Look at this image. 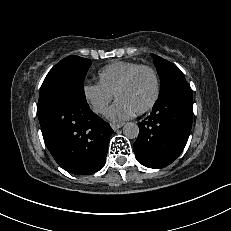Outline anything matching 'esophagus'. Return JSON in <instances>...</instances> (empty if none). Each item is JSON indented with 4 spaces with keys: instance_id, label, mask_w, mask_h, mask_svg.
<instances>
[{
    "instance_id": "esophagus-1",
    "label": "esophagus",
    "mask_w": 231,
    "mask_h": 231,
    "mask_svg": "<svg viewBox=\"0 0 231 231\" xmlns=\"http://www.w3.org/2000/svg\"><path fill=\"white\" fill-rule=\"evenodd\" d=\"M123 126V124L119 123V124H111V127L114 131L118 130L119 128H121Z\"/></svg>"
}]
</instances>
